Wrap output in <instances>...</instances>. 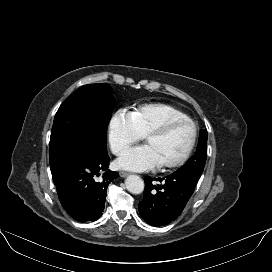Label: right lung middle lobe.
<instances>
[{"label":"right lung middle lobe","mask_w":272,"mask_h":272,"mask_svg":"<svg viewBox=\"0 0 272 272\" xmlns=\"http://www.w3.org/2000/svg\"><path fill=\"white\" fill-rule=\"evenodd\" d=\"M116 101L104 83L81 86L59 107L50 137V168L78 152L107 151L106 134Z\"/></svg>","instance_id":"dd1d6c3e"}]
</instances>
